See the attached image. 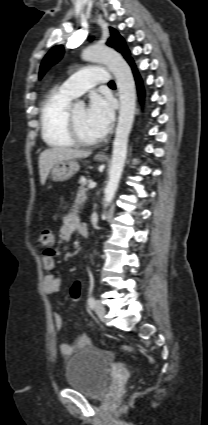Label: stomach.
I'll use <instances>...</instances> for the list:
<instances>
[{
	"label": "stomach",
	"instance_id": "0dacf381",
	"mask_svg": "<svg viewBox=\"0 0 208 425\" xmlns=\"http://www.w3.org/2000/svg\"><path fill=\"white\" fill-rule=\"evenodd\" d=\"M103 161L104 159H97ZM80 166L76 160H64L55 164L51 171V177L55 182H64L72 178L79 170Z\"/></svg>",
	"mask_w": 208,
	"mask_h": 425
}]
</instances>
